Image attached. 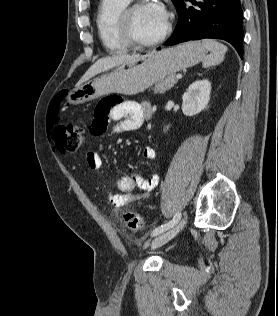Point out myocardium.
Listing matches in <instances>:
<instances>
[{
	"mask_svg": "<svg viewBox=\"0 0 278 316\" xmlns=\"http://www.w3.org/2000/svg\"><path fill=\"white\" fill-rule=\"evenodd\" d=\"M146 3H147L146 0H139L135 2L134 4L128 5L123 10L120 17V27H121V31H122L124 39L129 44V46H132L138 49L157 46L169 36L172 30L171 23L167 21L164 31L157 38L151 41H142L137 38L133 29V13L135 9H137L138 7L142 5H145Z\"/></svg>",
	"mask_w": 278,
	"mask_h": 316,
	"instance_id": "1",
	"label": "myocardium"
}]
</instances>
